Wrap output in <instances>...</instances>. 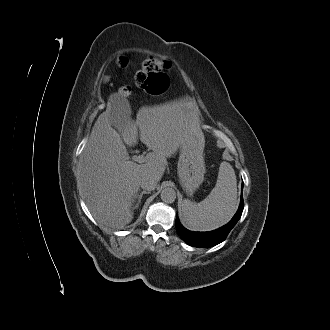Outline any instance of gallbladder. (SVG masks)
<instances>
[{
    "label": "gallbladder",
    "mask_w": 330,
    "mask_h": 330,
    "mask_svg": "<svg viewBox=\"0 0 330 330\" xmlns=\"http://www.w3.org/2000/svg\"><path fill=\"white\" fill-rule=\"evenodd\" d=\"M119 111H122L123 112V109L122 108H119Z\"/></svg>",
    "instance_id": "bac80fb5"
}]
</instances>
